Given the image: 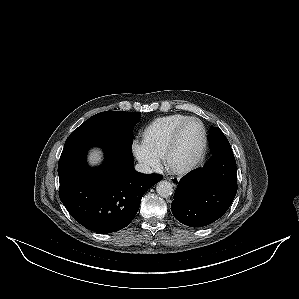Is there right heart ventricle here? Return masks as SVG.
Instances as JSON below:
<instances>
[{"mask_svg":"<svg viewBox=\"0 0 299 299\" xmlns=\"http://www.w3.org/2000/svg\"><path fill=\"white\" fill-rule=\"evenodd\" d=\"M189 116L182 114H171L157 118L151 122L143 132V143L148 150L157 155L163 156L164 149L173 131Z\"/></svg>","mask_w":299,"mask_h":299,"instance_id":"right-heart-ventricle-1","label":"right heart ventricle"}]
</instances>
